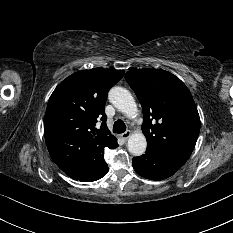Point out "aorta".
<instances>
[{"label": "aorta", "mask_w": 233, "mask_h": 233, "mask_svg": "<svg viewBox=\"0 0 233 233\" xmlns=\"http://www.w3.org/2000/svg\"><path fill=\"white\" fill-rule=\"evenodd\" d=\"M110 102L129 118L137 115L138 109L132 94L123 87H113L109 92ZM128 150L134 156L142 155L147 147V141L143 133H134L128 139Z\"/></svg>", "instance_id": "1"}]
</instances>
